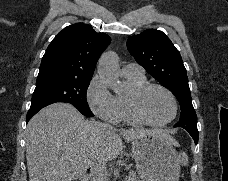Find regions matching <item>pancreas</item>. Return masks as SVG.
Returning <instances> with one entry per match:
<instances>
[{
  "label": "pancreas",
  "instance_id": "1",
  "mask_svg": "<svg viewBox=\"0 0 228 181\" xmlns=\"http://www.w3.org/2000/svg\"><path fill=\"white\" fill-rule=\"evenodd\" d=\"M127 181H138L137 173H135V171H130Z\"/></svg>",
  "mask_w": 228,
  "mask_h": 181
}]
</instances>
